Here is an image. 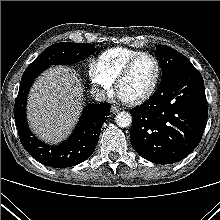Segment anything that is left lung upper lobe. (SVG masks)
<instances>
[{"instance_id": "5c2ea615", "label": "left lung upper lobe", "mask_w": 220, "mask_h": 220, "mask_svg": "<svg viewBox=\"0 0 220 220\" xmlns=\"http://www.w3.org/2000/svg\"><path fill=\"white\" fill-rule=\"evenodd\" d=\"M156 55L160 59L162 78L175 69L192 65L183 54L165 45L156 46Z\"/></svg>"}]
</instances>
